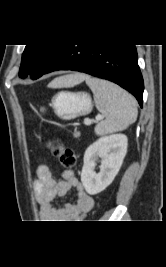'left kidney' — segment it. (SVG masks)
<instances>
[{
    "instance_id": "5707ae66",
    "label": "left kidney",
    "mask_w": 166,
    "mask_h": 267,
    "mask_svg": "<svg viewBox=\"0 0 166 267\" xmlns=\"http://www.w3.org/2000/svg\"><path fill=\"white\" fill-rule=\"evenodd\" d=\"M127 145L126 135L113 134L99 138L86 149L81 181L88 194H98L112 183L123 163ZM98 158H101V165L100 171L96 173Z\"/></svg>"
}]
</instances>
